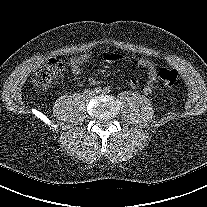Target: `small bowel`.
Wrapping results in <instances>:
<instances>
[{
	"label": "small bowel",
	"mask_w": 207,
	"mask_h": 207,
	"mask_svg": "<svg viewBox=\"0 0 207 207\" xmlns=\"http://www.w3.org/2000/svg\"><path fill=\"white\" fill-rule=\"evenodd\" d=\"M89 58H90V55L88 53H84V54L80 55L79 57L72 58L69 62L71 72L75 76H80L83 72L82 66L89 60ZM121 58H122L121 55L114 53V52H107L104 55V59L107 62H116V61L120 60ZM135 61L139 66H141L147 70L148 81H147V84L143 87V92L146 95H150L153 91L154 83L157 78L156 66L154 65L153 62H151L148 59H144V58H135ZM89 81L91 84L96 83V80L93 78H91ZM128 84L132 89L138 88V82L135 79H130L128 81Z\"/></svg>",
	"instance_id": "small-bowel-1"
}]
</instances>
